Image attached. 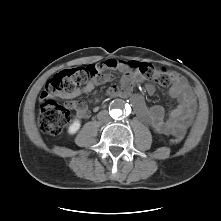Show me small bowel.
<instances>
[{
    "label": "small bowel",
    "mask_w": 221,
    "mask_h": 221,
    "mask_svg": "<svg viewBox=\"0 0 221 221\" xmlns=\"http://www.w3.org/2000/svg\"><path fill=\"white\" fill-rule=\"evenodd\" d=\"M98 76L95 81L88 82L81 87L75 88L71 92L61 95L68 100L66 106L75 110L76 113L87 118L90 111L85 103L77 102L75 99L81 95L92 92L97 86L112 80V76L107 73L110 70H118L123 73L119 86H113L119 90L117 95L130 97L138 117L147 124L155 134H175L181 137L190 126L196 107L195 96L182 78H177L174 84L169 88L168 95L177 101V105L169 112L165 118V110L160 105L148 106L140 94H133V87L138 76L130 72L128 62L124 60L108 59L96 66ZM148 94L155 92V87L151 84L146 86ZM112 95V94H111Z\"/></svg>",
    "instance_id": "obj_1"
}]
</instances>
